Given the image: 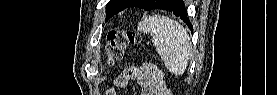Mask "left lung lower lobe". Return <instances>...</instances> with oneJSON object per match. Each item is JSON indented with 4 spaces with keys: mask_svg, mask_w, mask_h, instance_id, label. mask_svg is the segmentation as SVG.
Returning a JSON list of instances; mask_svg holds the SVG:
<instances>
[{
    "mask_svg": "<svg viewBox=\"0 0 277 95\" xmlns=\"http://www.w3.org/2000/svg\"><path fill=\"white\" fill-rule=\"evenodd\" d=\"M176 0H164V2L153 9H163L173 12L176 16H179L182 20H184L188 27L192 29L189 19L187 18L186 10L184 2L181 1L178 5L175 4ZM151 4V0H134L128 7H140L144 10H150L149 6Z\"/></svg>",
    "mask_w": 277,
    "mask_h": 95,
    "instance_id": "1",
    "label": "left lung lower lobe"
}]
</instances>
